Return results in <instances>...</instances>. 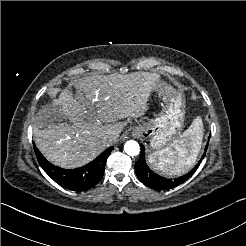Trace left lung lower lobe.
<instances>
[{"label": "left lung lower lobe", "mask_w": 246, "mask_h": 246, "mask_svg": "<svg viewBox=\"0 0 246 246\" xmlns=\"http://www.w3.org/2000/svg\"><path fill=\"white\" fill-rule=\"evenodd\" d=\"M207 147H208V144L206 145L205 151L207 150ZM200 162L201 161H199V163L195 166V168L191 172H189L188 174L184 176H181L174 180L163 178L155 174L151 169H149L145 161V148L143 145H141V154H140V158L135 163V172L138 178L142 181V183H144L148 187L155 189V190H167V189H171L183 183L189 177H191L196 171V169L198 168Z\"/></svg>", "instance_id": "left-lung-lower-lobe-1"}]
</instances>
